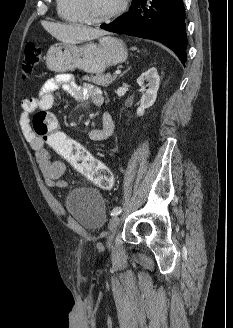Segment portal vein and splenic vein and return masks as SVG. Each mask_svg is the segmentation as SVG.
Listing matches in <instances>:
<instances>
[{
  "label": "portal vein and splenic vein",
  "mask_w": 233,
  "mask_h": 328,
  "mask_svg": "<svg viewBox=\"0 0 233 328\" xmlns=\"http://www.w3.org/2000/svg\"><path fill=\"white\" fill-rule=\"evenodd\" d=\"M120 73H121V70H116L114 74L119 75Z\"/></svg>",
  "instance_id": "18ae733b"
}]
</instances>
